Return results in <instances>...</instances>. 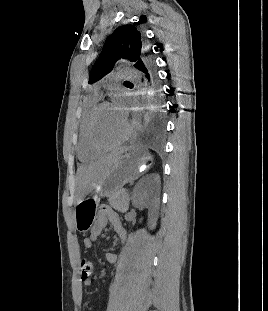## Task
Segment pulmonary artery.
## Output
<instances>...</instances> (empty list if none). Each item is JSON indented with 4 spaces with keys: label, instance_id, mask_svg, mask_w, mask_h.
Instances as JSON below:
<instances>
[{
    "label": "pulmonary artery",
    "instance_id": "e3ab8cb5",
    "mask_svg": "<svg viewBox=\"0 0 268 311\" xmlns=\"http://www.w3.org/2000/svg\"><path fill=\"white\" fill-rule=\"evenodd\" d=\"M134 75V72L131 69H123L119 72H117L114 76L116 80H121V79H129ZM94 91H97V87L94 89Z\"/></svg>",
    "mask_w": 268,
    "mask_h": 311
}]
</instances>
